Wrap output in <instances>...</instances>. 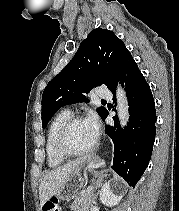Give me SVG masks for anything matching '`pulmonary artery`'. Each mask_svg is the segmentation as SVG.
Returning <instances> with one entry per match:
<instances>
[{
    "mask_svg": "<svg viewBox=\"0 0 179 211\" xmlns=\"http://www.w3.org/2000/svg\"><path fill=\"white\" fill-rule=\"evenodd\" d=\"M96 94L99 98H102V99H111L112 98V93L111 91L106 88V87H99L96 91ZM68 112H70L69 110H66Z\"/></svg>",
    "mask_w": 179,
    "mask_h": 211,
    "instance_id": "pulmonary-artery-1",
    "label": "pulmonary artery"
}]
</instances>
